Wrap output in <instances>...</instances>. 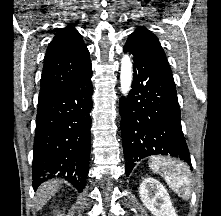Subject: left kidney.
Wrapping results in <instances>:
<instances>
[{"instance_id":"left-kidney-1","label":"left kidney","mask_w":221,"mask_h":216,"mask_svg":"<svg viewBox=\"0 0 221 216\" xmlns=\"http://www.w3.org/2000/svg\"><path fill=\"white\" fill-rule=\"evenodd\" d=\"M140 199L154 216H177L165 187L156 179L148 177L139 187Z\"/></svg>"}]
</instances>
